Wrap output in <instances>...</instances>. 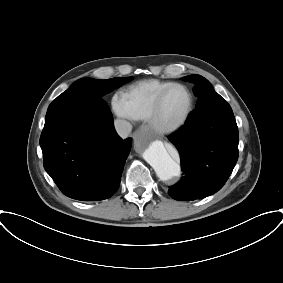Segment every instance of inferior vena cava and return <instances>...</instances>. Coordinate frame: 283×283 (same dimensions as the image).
<instances>
[{
	"instance_id": "obj_1",
	"label": "inferior vena cava",
	"mask_w": 283,
	"mask_h": 283,
	"mask_svg": "<svg viewBox=\"0 0 283 283\" xmlns=\"http://www.w3.org/2000/svg\"><path fill=\"white\" fill-rule=\"evenodd\" d=\"M114 126L118 135L122 138H127L132 131V125L122 119H117L114 121Z\"/></svg>"
}]
</instances>
